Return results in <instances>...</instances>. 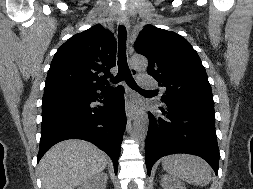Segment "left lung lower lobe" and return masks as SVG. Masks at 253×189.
Returning <instances> with one entry per match:
<instances>
[{"mask_svg": "<svg viewBox=\"0 0 253 189\" xmlns=\"http://www.w3.org/2000/svg\"><path fill=\"white\" fill-rule=\"evenodd\" d=\"M162 116L150 112L145 160L148 174L162 156L189 153L206 160L218 174L219 148L216 139L214 111L201 106L161 101Z\"/></svg>", "mask_w": 253, "mask_h": 189, "instance_id": "left-lung-lower-lobe-1", "label": "left lung lower lobe"}]
</instances>
